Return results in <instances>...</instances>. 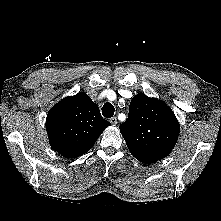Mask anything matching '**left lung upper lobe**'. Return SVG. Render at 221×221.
<instances>
[{"label": "left lung upper lobe", "instance_id": "1", "mask_svg": "<svg viewBox=\"0 0 221 221\" xmlns=\"http://www.w3.org/2000/svg\"><path fill=\"white\" fill-rule=\"evenodd\" d=\"M119 128L131 154L144 163H153L169 155L180 130L171 109L144 93L133 97L128 118Z\"/></svg>", "mask_w": 221, "mask_h": 221}]
</instances>
